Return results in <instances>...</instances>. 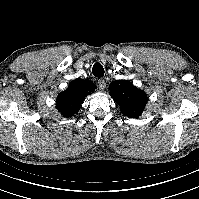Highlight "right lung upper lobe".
<instances>
[{"label":"right lung upper lobe","mask_w":199,"mask_h":199,"mask_svg":"<svg viewBox=\"0 0 199 199\" xmlns=\"http://www.w3.org/2000/svg\"><path fill=\"white\" fill-rule=\"evenodd\" d=\"M95 89L88 80L75 79L68 88L57 96L56 107L64 117H71L80 109L85 97Z\"/></svg>","instance_id":"right-lung-upper-lobe-1"}]
</instances>
